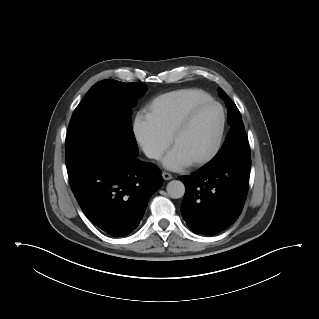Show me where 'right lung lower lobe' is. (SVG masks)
I'll return each mask as SVG.
<instances>
[{"label":"right lung lower lobe","instance_id":"right-lung-lower-lobe-1","mask_svg":"<svg viewBox=\"0 0 319 319\" xmlns=\"http://www.w3.org/2000/svg\"><path fill=\"white\" fill-rule=\"evenodd\" d=\"M137 151L109 146L92 155L73 176L72 191L87 218L113 237L130 234L163 183L160 170Z\"/></svg>","mask_w":319,"mask_h":319}]
</instances>
